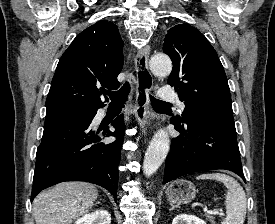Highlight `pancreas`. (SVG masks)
I'll use <instances>...</instances> for the list:
<instances>
[{"instance_id": "1", "label": "pancreas", "mask_w": 275, "mask_h": 224, "mask_svg": "<svg viewBox=\"0 0 275 224\" xmlns=\"http://www.w3.org/2000/svg\"><path fill=\"white\" fill-rule=\"evenodd\" d=\"M207 220H209L210 222H212V224H214V220L213 217L210 215H206Z\"/></svg>"}]
</instances>
